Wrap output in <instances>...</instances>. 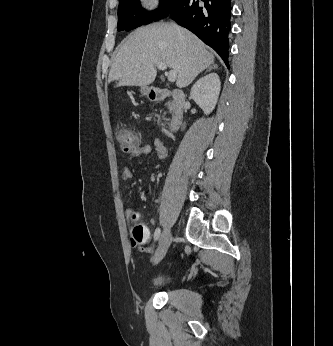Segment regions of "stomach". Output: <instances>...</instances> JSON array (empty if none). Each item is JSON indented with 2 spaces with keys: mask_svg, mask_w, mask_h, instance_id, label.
<instances>
[{
  "mask_svg": "<svg viewBox=\"0 0 333 346\" xmlns=\"http://www.w3.org/2000/svg\"><path fill=\"white\" fill-rule=\"evenodd\" d=\"M141 92H142L143 94H147L148 90H147V88L143 87V88L141 89Z\"/></svg>",
  "mask_w": 333,
  "mask_h": 346,
  "instance_id": "1",
  "label": "stomach"
}]
</instances>
